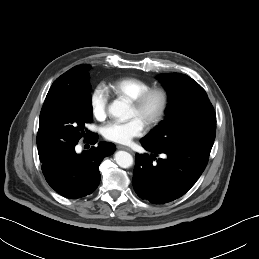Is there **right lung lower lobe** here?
<instances>
[{
  "mask_svg": "<svg viewBox=\"0 0 259 259\" xmlns=\"http://www.w3.org/2000/svg\"><path fill=\"white\" fill-rule=\"evenodd\" d=\"M94 139L98 136L92 133L87 140ZM115 149L113 143L100 142L97 148L91 147L77 154L74 147L66 154L40 159L42 172L48 184L60 195L70 199L82 198L98 187L101 179L99 165Z\"/></svg>",
  "mask_w": 259,
  "mask_h": 259,
  "instance_id": "right-lung-lower-lobe-1",
  "label": "right lung lower lobe"
}]
</instances>
